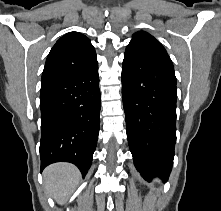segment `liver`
I'll return each instance as SVG.
<instances>
[{"label":"liver","instance_id":"6515ba94","mask_svg":"<svg viewBox=\"0 0 221 211\" xmlns=\"http://www.w3.org/2000/svg\"><path fill=\"white\" fill-rule=\"evenodd\" d=\"M45 189L58 204L63 205L79 185L80 172L69 163H55L44 172Z\"/></svg>","mask_w":221,"mask_h":211}]
</instances>
